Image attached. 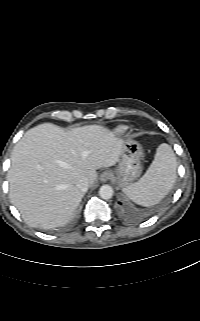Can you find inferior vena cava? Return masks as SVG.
<instances>
[{
  "instance_id": "inferior-vena-cava-1",
  "label": "inferior vena cava",
  "mask_w": 200,
  "mask_h": 321,
  "mask_svg": "<svg viewBox=\"0 0 200 321\" xmlns=\"http://www.w3.org/2000/svg\"><path fill=\"white\" fill-rule=\"evenodd\" d=\"M77 188L80 189L81 191L85 192L88 189V181L86 179H81L78 181L76 184Z\"/></svg>"
}]
</instances>
